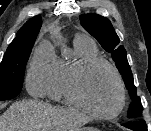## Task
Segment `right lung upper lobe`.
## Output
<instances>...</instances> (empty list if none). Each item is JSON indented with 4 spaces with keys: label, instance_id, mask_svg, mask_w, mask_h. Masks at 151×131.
Returning <instances> with one entry per match:
<instances>
[{
    "label": "right lung upper lobe",
    "instance_id": "right-lung-upper-lobe-1",
    "mask_svg": "<svg viewBox=\"0 0 151 131\" xmlns=\"http://www.w3.org/2000/svg\"><path fill=\"white\" fill-rule=\"evenodd\" d=\"M41 25L42 20L39 15L28 20L17 32L15 39L9 45L8 49L25 47L30 44H34Z\"/></svg>",
    "mask_w": 151,
    "mask_h": 131
}]
</instances>
